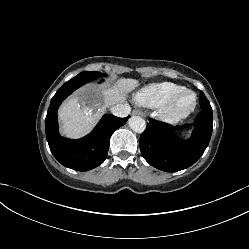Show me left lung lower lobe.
Instances as JSON below:
<instances>
[{
    "mask_svg": "<svg viewBox=\"0 0 249 249\" xmlns=\"http://www.w3.org/2000/svg\"><path fill=\"white\" fill-rule=\"evenodd\" d=\"M199 103L202 110L196 116L191 137L187 140L173 136L177 127L149 119L139 145L142 156L150 165L165 172H177L202 156L212 134V108L202 92Z\"/></svg>",
    "mask_w": 249,
    "mask_h": 249,
    "instance_id": "obj_1",
    "label": "left lung lower lobe"
}]
</instances>
